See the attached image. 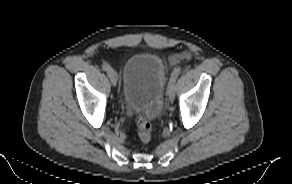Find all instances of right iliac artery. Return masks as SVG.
Here are the masks:
<instances>
[{"mask_svg":"<svg viewBox=\"0 0 292 184\" xmlns=\"http://www.w3.org/2000/svg\"><path fill=\"white\" fill-rule=\"evenodd\" d=\"M102 69H103L104 71H107V72H108V71L111 69V67L109 66L108 63L104 62V63L102 64Z\"/></svg>","mask_w":292,"mask_h":184,"instance_id":"right-iliac-artery-1","label":"right iliac artery"}]
</instances>
